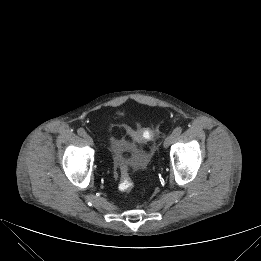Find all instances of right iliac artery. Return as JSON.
I'll return each instance as SVG.
<instances>
[{
  "mask_svg": "<svg viewBox=\"0 0 261 261\" xmlns=\"http://www.w3.org/2000/svg\"><path fill=\"white\" fill-rule=\"evenodd\" d=\"M77 132H78V134L80 135V136H85L86 135V132H85V130L83 129V128H79L78 130H77Z\"/></svg>",
  "mask_w": 261,
  "mask_h": 261,
  "instance_id": "right-iliac-artery-1",
  "label": "right iliac artery"
}]
</instances>
